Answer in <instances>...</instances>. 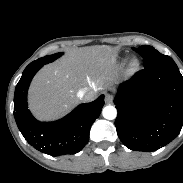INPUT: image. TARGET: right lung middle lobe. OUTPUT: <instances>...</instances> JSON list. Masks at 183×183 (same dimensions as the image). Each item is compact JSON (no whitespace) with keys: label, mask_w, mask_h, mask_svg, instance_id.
Segmentation results:
<instances>
[{"label":"right lung middle lobe","mask_w":183,"mask_h":183,"mask_svg":"<svg viewBox=\"0 0 183 183\" xmlns=\"http://www.w3.org/2000/svg\"><path fill=\"white\" fill-rule=\"evenodd\" d=\"M61 55H62V53H56L54 55H48V56L42 57V58L35 60L33 62H44L45 64H47V63L53 62L55 59H57Z\"/></svg>","instance_id":"right-lung-middle-lobe-1"}]
</instances>
